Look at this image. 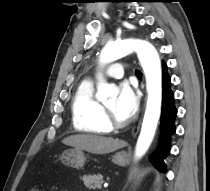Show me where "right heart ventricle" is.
<instances>
[{"label": "right heart ventricle", "instance_id": "1", "mask_svg": "<svg viewBox=\"0 0 210 191\" xmlns=\"http://www.w3.org/2000/svg\"><path fill=\"white\" fill-rule=\"evenodd\" d=\"M74 128L86 134H107L110 128L105 120L103 105L94 95V84L90 80L80 83L72 101Z\"/></svg>", "mask_w": 210, "mask_h": 191}]
</instances>
